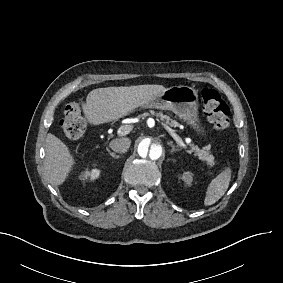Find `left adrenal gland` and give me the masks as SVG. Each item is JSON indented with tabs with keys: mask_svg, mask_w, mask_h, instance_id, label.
<instances>
[{
	"mask_svg": "<svg viewBox=\"0 0 283 283\" xmlns=\"http://www.w3.org/2000/svg\"><path fill=\"white\" fill-rule=\"evenodd\" d=\"M168 145L172 147L171 154H173L174 152H180V150H178L177 147L173 145V142H169Z\"/></svg>",
	"mask_w": 283,
	"mask_h": 283,
	"instance_id": "1",
	"label": "left adrenal gland"
}]
</instances>
